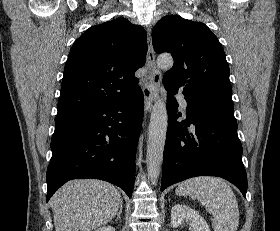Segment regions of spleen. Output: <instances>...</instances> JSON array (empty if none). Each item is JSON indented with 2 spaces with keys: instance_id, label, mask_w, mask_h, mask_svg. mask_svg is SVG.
Instances as JSON below:
<instances>
[{
  "instance_id": "spleen-1",
  "label": "spleen",
  "mask_w": 280,
  "mask_h": 231,
  "mask_svg": "<svg viewBox=\"0 0 280 231\" xmlns=\"http://www.w3.org/2000/svg\"><path fill=\"white\" fill-rule=\"evenodd\" d=\"M176 195L200 199L213 215L214 231H236L239 223L238 201L228 183L220 177H191L179 183Z\"/></svg>"
}]
</instances>
